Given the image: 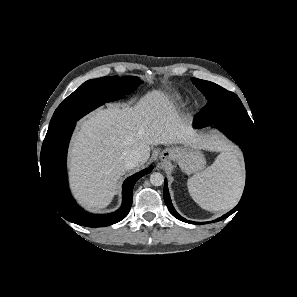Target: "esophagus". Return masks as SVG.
Instances as JSON below:
<instances>
[{
	"mask_svg": "<svg viewBox=\"0 0 297 297\" xmlns=\"http://www.w3.org/2000/svg\"><path fill=\"white\" fill-rule=\"evenodd\" d=\"M164 153L169 154V152H167V151H165ZM162 156H164V155H162Z\"/></svg>",
	"mask_w": 297,
	"mask_h": 297,
	"instance_id": "34e87169",
	"label": "esophagus"
}]
</instances>
